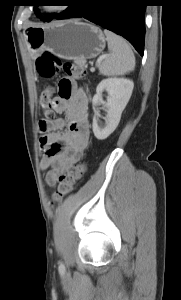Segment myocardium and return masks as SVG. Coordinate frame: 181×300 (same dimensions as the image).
Masks as SVG:
<instances>
[{"mask_svg":"<svg viewBox=\"0 0 181 300\" xmlns=\"http://www.w3.org/2000/svg\"><path fill=\"white\" fill-rule=\"evenodd\" d=\"M43 9L46 10L47 13L51 15H59L67 9V6L66 5H57L54 7L44 6Z\"/></svg>","mask_w":181,"mask_h":300,"instance_id":"1","label":"myocardium"}]
</instances>
